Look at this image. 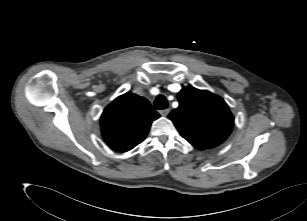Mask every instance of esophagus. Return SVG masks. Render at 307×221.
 I'll return each mask as SVG.
<instances>
[{"instance_id": "esophagus-1", "label": "esophagus", "mask_w": 307, "mask_h": 221, "mask_svg": "<svg viewBox=\"0 0 307 221\" xmlns=\"http://www.w3.org/2000/svg\"><path fill=\"white\" fill-rule=\"evenodd\" d=\"M170 110L169 109H164V110H161L160 111V114L163 116V117H166L168 114H169Z\"/></svg>"}]
</instances>
